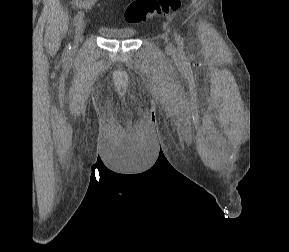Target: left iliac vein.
I'll return each instance as SVG.
<instances>
[{
    "label": "left iliac vein",
    "instance_id": "4c4485c4",
    "mask_svg": "<svg viewBox=\"0 0 289 252\" xmlns=\"http://www.w3.org/2000/svg\"><path fill=\"white\" fill-rule=\"evenodd\" d=\"M167 48L171 52L174 50L173 44L170 41H168V43H167Z\"/></svg>",
    "mask_w": 289,
    "mask_h": 252
}]
</instances>
